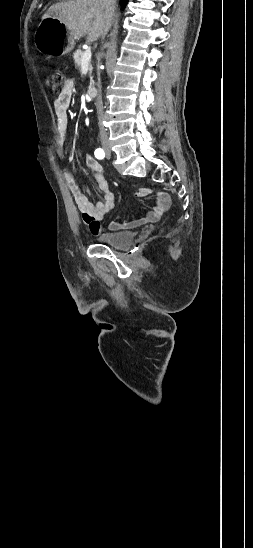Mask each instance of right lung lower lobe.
<instances>
[{
	"label": "right lung lower lobe",
	"instance_id": "obj_1",
	"mask_svg": "<svg viewBox=\"0 0 253 548\" xmlns=\"http://www.w3.org/2000/svg\"><path fill=\"white\" fill-rule=\"evenodd\" d=\"M129 0H121V3L126 6V4L128 3Z\"/></svg>",
	"mask_w": 253,
	"mask_h": 548
}]
</instances>
